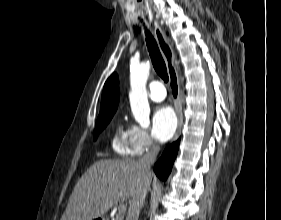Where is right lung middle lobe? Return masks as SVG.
<instances>
[{
  "instance_id": "right-lung-middle-lobe-1",
  "label": "right lung middle lobe",
  "mask_w": 281,
  "mask_h": 220,
  "mask_svg": "<svg viewBox=\"0 0 281 220\" xmlns=\"http://www.w3.org/2000/svg\"><path fill=\"white\" fill-rule=\"evenodd\" d=\"M113 115H107L98 117L96 122V127L94 131V139L97 138L98 134L106 127V125L110 122Z\"/></svg>"
}]
</instances>
